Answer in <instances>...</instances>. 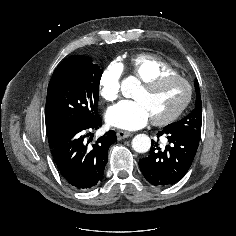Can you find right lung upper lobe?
<instances>
[{"mask_svg": "<svg viewBox=\"0 0 236 236\" xmlns=\"http://www.w3.org/2000/svg\"><path fill=\"white\" fill-rule=\"evenodd\" d=\"M46 127L48 136L54 135L61 129V127L58 124L50 120L48 117H46Z\"/></svg>", "mask_w": 236, "mask_h": 236, "instance_id": "1", "label": "right lung upper lobe"}]
</instances>
